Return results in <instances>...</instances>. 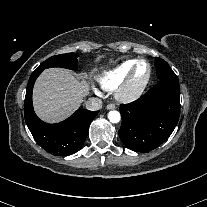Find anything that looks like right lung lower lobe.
I'll use <instances>...</instances> for the list:
<instances>
[{
  "instance_id": "obj_1",
  "label": "right lung lower lobe",
  "mask_w": 207,
  "mask_h": 207,
  "mask_svg": "<svg viewBox=\"0 0 207 207\" xmlns=\"http://www.w3.org/2000/svg\"><path fill=\"white\" fill-rule=\"evenodd\" d=\"M42 71H34L28 81L24 102L26 124L36 142L54 155H71L81 149L88 134L91 121L99 111L79 109L66 120L57 124L41 121L32 105V90Z\"/></svg>"
}]
</instances>
